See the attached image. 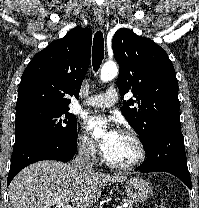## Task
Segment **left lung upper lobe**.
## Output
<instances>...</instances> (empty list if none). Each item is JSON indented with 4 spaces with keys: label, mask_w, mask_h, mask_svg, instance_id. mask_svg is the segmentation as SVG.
I'll list each match as a JSON object with an SVG mask.
<instances>
[{
    "label": "left lung upper lobe",
    "mask_w": 199,
    "mask_h": 208,
    "mask_svg": "<svg viewBox=\"0 0 199 208\" xmlns=\"http://www.w3.org/2000/svg\"><path fill=\"white\" fill-rule=\"evenodd\" d=\"M112 49L120 94L131 90L134 97L123 102L122 111L145 148L157 132L180 126L175 69L163 48L127 28L116 31Z\"/></svg>",
    "instance_id": "obj_1"
}]
</instances>
